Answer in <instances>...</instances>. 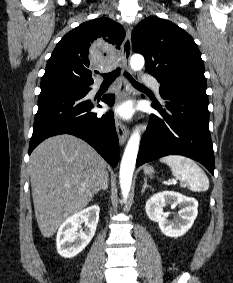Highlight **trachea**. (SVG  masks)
Listing matches in <instances>:
<instances>
[{
	"label": "trachea",
	"mask_w": 233,
	"mask_h": 283,
	"mask_svg": "<svg viewBox=\"0 0 233 283\" xmlns=\"http://www.w3.org/2000/svg\"><path fill=\"white\" fill-rule=\"evenodd\" d=\"M120 74V69H116L114 72L108 73V74H102L104 81L103 83L105 84H111L115 78ZM125 76L129 79V81L132 83V85L138 89H146L145 86L139 84L138 82H136L132 76L130 74H128L127 72H125Z\"/></svg>",
	"instance_id": "obj_1"
}]
</instances>
